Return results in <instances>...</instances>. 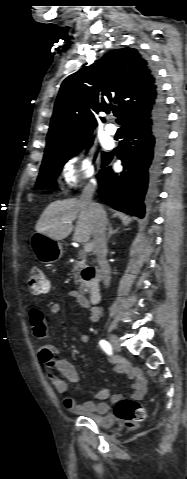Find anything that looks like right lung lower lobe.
Listing matches in <instances>:
<instances>
[{"mask_svg": "<svg viewBox=\"0 0 187 479\" xmlns=\"http://www.w3.org/2000/svg\"><path fill=\"white\" fill-rule=\"evenodd\" d=\"M126 137L117 149L107 153L102 166L108 165L113 155L122 161L124 171L114 173L110 167L100 170V198L119 211L143 218L144 202L155 194L168 136L167 109L162 95L145 107H138L121 121Z\"/></svg>", "mask_w": 187, "mask_h": 479, "instance_id": "98d812e1", "label": "right lung lower lobe"}]
</instances>
